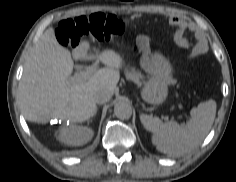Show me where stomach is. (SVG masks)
I'll list each match as a JSON object with an SVG mask.
<instances>
[{"mask_svg": "<svg viewBox=\"0 0 236 182\" xmlns=\"http://www.w3.org/2000/svg\"><path fill=\"white\" fill-rule=\"evenodd\" d=\"M141 65L150 78L144 83L141 96L150 104H161L168 95V85L172 81L173 66L162 54L142 53Z\"/></svg>", "mask_w": 236, "mask_h": 182, "instance_id": "0dacf381", "label": "stomach"}]
</instances>
